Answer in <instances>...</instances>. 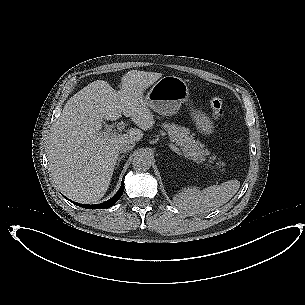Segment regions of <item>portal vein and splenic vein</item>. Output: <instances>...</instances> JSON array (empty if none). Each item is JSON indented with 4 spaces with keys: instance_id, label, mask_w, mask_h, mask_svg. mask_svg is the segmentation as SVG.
Returning a JSON list of instances; mask_svg holds the SVG:
<instances>
[{
    "instance_id": "portal-vein-and-splenic-vein-1",
    "label": "portal vein and splenic vein",
    "mask_w": 305,
    "mask_h": 305,
    "mask_svg": "<svg viewBox=\"0 0 305 305\" xmlns=\"http://www.w3.org/2000/svg\"><path fill=\"white\" fill-rule=\"evenodd\" d=\"M124 127V123L123 122H120L118 125H117V129H123ZM117 130H112L111 128H106L105 130V133H109V134H117L116 132ZM170 148L172 151H174L175 153H177L178 155H180V150L173 144L170 145Z\"/></svg>"
}]
</instances>
